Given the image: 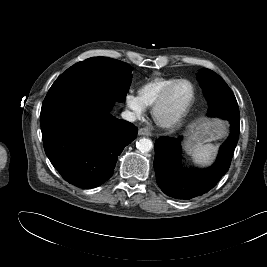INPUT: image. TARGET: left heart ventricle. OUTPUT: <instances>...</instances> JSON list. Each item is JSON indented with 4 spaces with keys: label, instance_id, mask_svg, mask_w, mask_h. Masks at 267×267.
Instances as JSON below:
<instances>
[{
    "label": "left heart ventricle",
    "instance_id": "obj_1",
    "mask_svg": "<svg viewBox=\"0 0 267 267\" xmlns=\"http://www.w3.org/2000/svg\"><path fill=\"white\" fill-rule=\"evenodd\" d=\"M192 90L187 83H181L175 87L165 105L160 109V117L170 120L177 117L191 98Z\"/></svg>",
    "mask_w": 267,
    "mask_h": 267
}]
</instances>
